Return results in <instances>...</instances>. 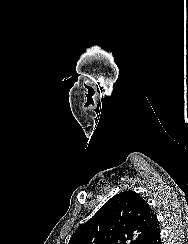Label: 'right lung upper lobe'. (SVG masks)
I'll return each instance as SVG.
<instances>
[{"label": "right lung upper lobe", "mask_w": 188, "mask_h": 244, "mask_svg": "<svg viewBox=\"0 0 188 244\" xmlns=\"http://www.w3.org/2000/svg\"><path fill=\"white\" fill-rule=\"evenodd\" d=\"M158 227L147 202L130 190L109 199L75 231L69 244H146Z\"/></svg>", "instance_id": "cb5924a9"}]
</instances>
